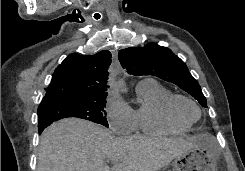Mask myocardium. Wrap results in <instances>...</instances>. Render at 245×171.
Masks as SVG:
<instances>
[{
    "mask_svg": "<svg viewBox=\"0 0 245 171\" xmlns=\"http://www.w3.org/2000/svg\"><path fill=\"white\" fill-rule=\"evenodd\" d=\"M180 101H186V102L192 104L196 108V110L198 112V117L194 121H188V120L184 119L179 114V112L177 110V106H178V103ZM165 111H166V113L170 119H172L173 121H175L177 123L186 125V126L193 125L201 117V109H200L199 105L196 103V101L187 97V96L181 95V94H172L167 98V100L165 102Z\"/></svg>",
    "mask_w": 245,
    "mask_h": 171,
    "instance_id": "1",
    "label": "myocardium"
}]
</instances>
